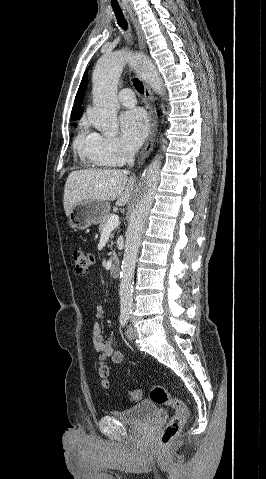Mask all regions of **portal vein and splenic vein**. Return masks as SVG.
<instances>
[{
	"label": "portal vein and splenic vein",
	"instance_id": "obj_1",
	"mask_svg": "<svg viewBox=\"0 0 266 479\" xmlns=\"http://www.w3.org/2000/svg\"><path fill=\"white\" fill-rule=\"evenodd\" d=\"M118 225H119V216L113 215L108 219L107 224L103 229V232L111 231L115 229Z\"/></svg>",
	"mask_w": 266,
	"mask_h": 479
}]
</instances>
